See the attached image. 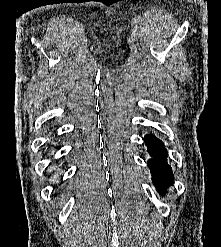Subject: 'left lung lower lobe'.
<instances>
[{"label": "left lung lower lobe", "instance_id": "1", "mask_svg": "<svg viewBox=\"0 0 221 247\" xmlns=\"http://www.w3.org/2000/svg\"><path fill=\"white\" fill-rule=\"evenodd\" d=\"M144 139L148 152L153 156V158L148 161L153 183L160 193H165L166 187L173 183L172 169L166 162V150L163 143L155 136L146 135Z\"/></svg>", "mask_w": 221, "mask_h": 247}]
</instances>
